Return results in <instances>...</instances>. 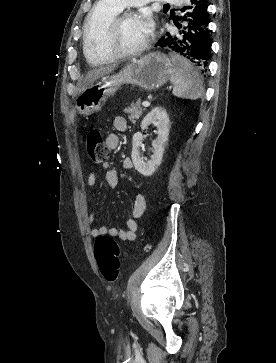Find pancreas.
Listing matches in <instances>:
<instances>
[{"label":"pancreas","mask_w":276,"mask_h":363,"mask_svg":"<svg viewBox=\"0 0 276 363\" xmlns=\"http://www.w3.org/2000/svg\"><path fill=\"white\" fill-rule=\"evenodd\" d=\"M140 105L141 100H138L135 103H132L130 107L124 109V112L128 114V118L132 123H135L143 113L144 109H142Z\"/></svg>","instance_id":"1"}]
</instances>
